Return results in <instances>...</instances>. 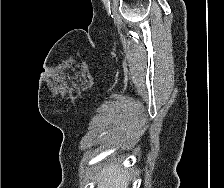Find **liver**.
I'll return each instance as SVG.
<instances>
[{"label": "liver", "mask_w": 224, "mask_h": 188, "mask_svg": "<svg viewBox=\"0 0 224 188\" xmlns=\"http://www.w3.org/2000/svg\"><path fill=\"white\" fill-rule=\"evenodd\" d=\"M128 172L120 170L118 164L104 168L97 176L98 188H128Z\"/></svg>", "instance_id": "liver-1"}]
</instances>
